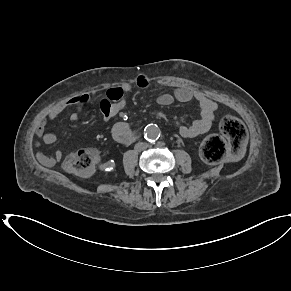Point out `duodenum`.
<instances>
[{"label": "duodenum", "instance_id": "obj_1", "mask_svg": "<svg viewBox=\"0 0 291 291\" xmlns=\"http://www.w3.org/2000/svg\"><path fill=\"white\" fill-rule=\"evenodd\" d=\"M137 137H138V134L136 133V139H137Z\"/></svg>", "mask_w": 291, "mask_h": 291}]
</instances>
